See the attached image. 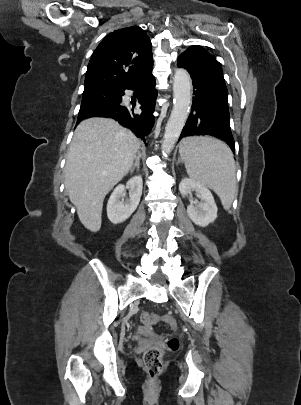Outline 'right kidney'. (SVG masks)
<instances>
[{"mask_svg":"<svg viewBox=\"0 0 301 405\" xmlns=\"http://www.w3.org/2000/svg\"><path fill=\"white\" fill-rule=\"evenodd\" d=\"M126 187L130 188V199H121L125 186L118 185L108 200L107 216L113 224L124 222L136 210L142 194V177L134 176L127 182Z\"/></svg>","mask_w":301,"mask_h":405,"instance_id":"ca27d5eb","label":"right kidney"}]
</instances>
